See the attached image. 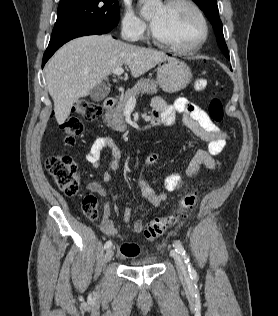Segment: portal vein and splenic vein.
Instances as JSON below:
<instances>
[{
    "label": "portal vein and splenic vein",
    "mask_w": 278,
    "mask_h": 316,
    "mask_svg": "<svg viewBox=\"0 0 278 316\" xmlns=\"http://www.w3.org/2000/svg\"><path fill=\"white\" fill-rule=\"evenodd\" d=\"M124 72V69L123 68H116L112 71L113 74L115 75H122ZM128 103H133L135 104L136 103V99L135 97H131L129 100H128Z\"/></svg>",
    "instance_id": "1"
}]
</instances>
